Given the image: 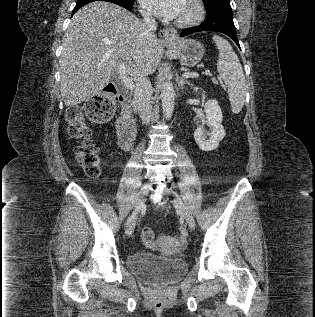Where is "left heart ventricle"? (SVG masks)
<instances>
[{
    "mask_svg": "<svg viewBox=\"0 0 315 317\" xmlns=\"http://www.w3.org/2000/svg\"><path fill=\"white\" fill-rule=\"evenodd\" d=\"M191 12H192L191 6L188 3V0H186L181 12L177 16V19L186 18L191 14Z\"/></svg>",
    "mask_w": 315,
    "mask_h": 317,
    "instance_id": "left-heart-ventricle-1",
    "label": "left heart ventricle"
}]
</instances>
